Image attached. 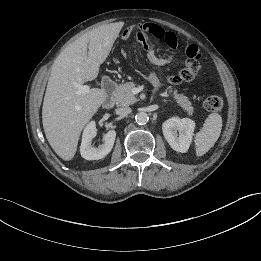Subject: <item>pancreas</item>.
I'll list each match as a JSON object with an SVG mask.
<instances>
[{
    "instance_id": "obj_1",
    "label": "pancreas",
    "mask_w": 261,
    "mask_h": 261,
    "mask_svg": "<svg viewBox=\"0 0 261 261\" xmlns=\"http://www.w3.org/2000/svg\"><path fill=\"white\" fill-rule=\"evenodd\" d=\"M135 87V83L127 82L117 86L113 97L117 106H129L134 104L137 99L132 93V89ZM177 104L187 112L188 115H192L194 108L188 97L178 94L177 90L170 91Z\"/></svg>"
}]
</instances>
